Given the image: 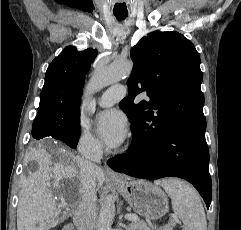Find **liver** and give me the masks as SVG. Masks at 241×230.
Instances as JSON below:
<instances>
[{
  "instance_id": "1",
  "label": "liver",
  "mask_w": 241,
  "mask_h": 230,
  "mask_svg": "<svg viewBox=\"0 0 241 230\" xmlns=\"http://www.w3.org/2000/svg\"><path fill=\"white\" fill-rule=\"evenodd\" d=\"M36 163V170L22 175L20 180L19 201L17 206V230H46L55 224V218L60 212L54 199L53 190L61 188L60 181L66 179L72 182L75 196L65 194L64 198L77 206L82 198L80 167L84 159L75 155L63 146L56 145L51 149L43 145L38 150L32 149L25 157L28 162ZM98 187L105 181L100 167L95 168ZM53 179L51 189L50 180ZM129 180V178H127ZM39 224L40 227L36 225Z\"/></svg>"
}]
</instances>
